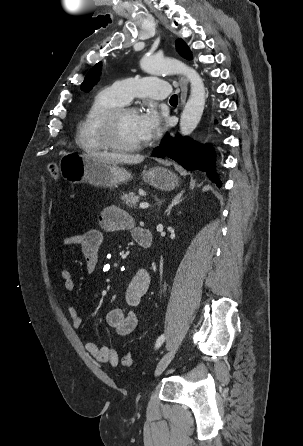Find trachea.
<instances>
[{
    "instance_id": "1",
    "label": "trachea",
    "mask_w": 303,
    "mask_h": 446,
    "mask_svg": "<svg viewBox=\"0 0 303 446\" xmlns=\"http://www.w3.org/2000/svg\"><path fill=\"white\" fill-rule=\"evenodd\" d=\"M178 102V96L177 95H173L171 98H170V103H177Z\"/></svg>"
}]
</instances>
